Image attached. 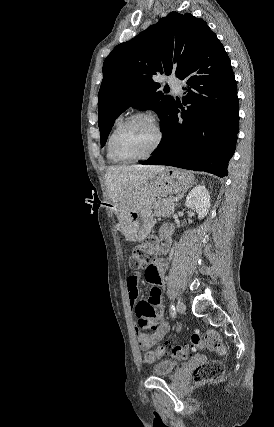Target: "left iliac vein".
Segmentation results:
<instances>
[{
  "mask_svg": "<svg viewBox=\"0 0 274 427\" xmlns=\"http://www.w3.org/2000/svg\"><path fill=\"white\" fill-rule=\"evenodd\" d=\"M176 307L180 313H184L186 311V306L182 301H178Z\"/></svg>",
  "mask_w": 274,
  "mask_h": 427,
  "instance_id": "1",
  "label": "left iliac vein"
}]
</instances>
